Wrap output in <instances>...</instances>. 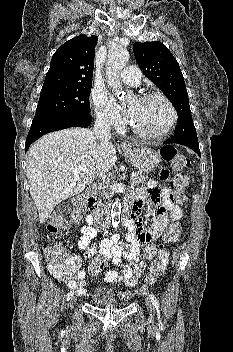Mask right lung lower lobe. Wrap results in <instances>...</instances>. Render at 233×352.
Listing matches in <instances>:
<instances>
[{"label": "right lung lower lobe", "instance_id": "obj_1", "mask_svg": "<svg viewBox=\"0 0 233 352\" xmlns=\"http://www.w3.org/2000/svg\"><path fill=\"white\" fill-rule=\"evenodd\" d=\"M91 121L92 118L89 114L56 116L33 121L26 138L25 152L34 141L47 133L69 127H87Z\"/></svg>", "mask_w": 233, "mask_h": 352}]
</instances>
